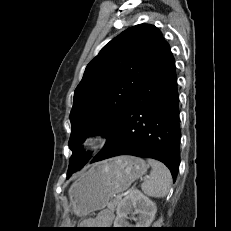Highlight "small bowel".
<instances>
[{"label":"small bowel","mask_w":231,"mask_h":231,"mask_svg":"<svg viewBox=\"0 0 231 231\" xmlns=\"http://www.w3.org/2000/svg\"><path fill=\"white\" fill-rule=\"evenodd\" d=\"M114 220V214L110 210L103 211L98 217V230L97 231H106L107 227L111 226Z\"/></svg>","instance_id":"small-bowel-1"}]
</instances>
